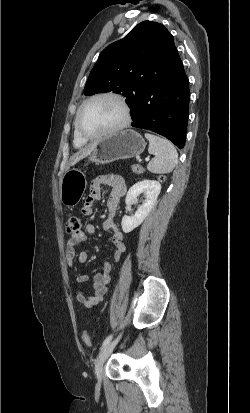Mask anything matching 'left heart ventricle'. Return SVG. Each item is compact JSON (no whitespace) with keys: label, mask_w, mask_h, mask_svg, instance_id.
I'll return each mask as SVG.
<instances>
[{"label":"left heart ventricle","mask_w":250,"mask_h":413,"mask_svg":"<svg viewBox=\"0 0 250 413\" xmlns=\"http://www.w3.org/2000/svg\"><path fill=\"white\" fill-rule=\"evenodd\" d=\"M123 119L120 105L108 98L87 104L80 116L81 130L89 135L101 133L117 126Z\"/></svg>","instance_id":"left-heart-ventricle-1"}]
</instances>
